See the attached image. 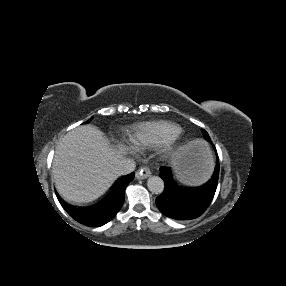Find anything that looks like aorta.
Segmentation results:
<instances>
[{
    "label": "aorta",
    "instance_id": "1",
    "mask_svg": "<svg viewBox=\"0 0 286 286\" xmlns=\"http://www.w3.org/2000/svg\"><path fill=\"white\" fill-rule=\"evenodd\" d=\"M148 189L155 194H160L164 190V181L159 176H151L147 180Z\"/></svg>",
    "mask_w": 286,
    "mask_h": 286
}]
</instances>
